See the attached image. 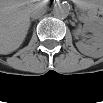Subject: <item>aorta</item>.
I'll return each instance as SVG.
<instances>
[{
  "mask_svg": "<svg viewBox=\"0 0 103 103\" xmlns=\"http://www.w3.org/2000/svg\"><path fill=\"white\" fill-rule=\"evenodd\" d=\"M53 15L57 18L64 19L69 15V7L66 3H57L53 7Z\"/></svg>",
  "mask_w": 103,
  "mask_h": 103,
  "instance_id": "1",
  "label": "aorta"
}]
</instances>
